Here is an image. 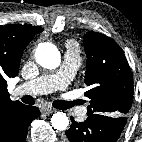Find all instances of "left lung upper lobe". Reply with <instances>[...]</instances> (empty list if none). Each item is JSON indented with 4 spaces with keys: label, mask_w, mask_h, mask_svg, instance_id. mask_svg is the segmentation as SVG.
Listing matches in <instances>:
<instances>
[{
    "label": "left lung upper lobe",
    "mask_w": 142,
    "mask_h": 142,
    "mask_svg": "<svg viewBox=\"0 0 142 142\" xmlns=\"http://www.w3.org/2000/svg\"><path fill=\"white\" fill-rule=\"evenodd\" d=\"M84 47L87 115L126 116L133 101V76L123 51L108 36L93 31L86 33Z\"/></svg>",
    "instance_id": "1"
}]
</instances>
